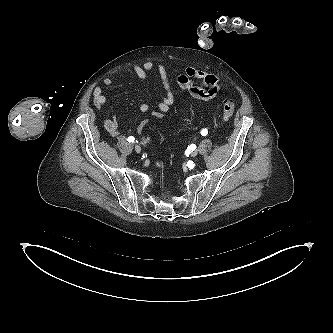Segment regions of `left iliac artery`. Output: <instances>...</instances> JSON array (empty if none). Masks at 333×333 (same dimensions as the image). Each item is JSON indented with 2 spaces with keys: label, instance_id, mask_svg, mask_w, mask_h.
<instances>
[{
  "label": "left iliac artery",
  "instance_id": "1",
  "mask_svg": "<svg viewBox=\"0 0 333 333\" xmlns=\"http://www.w3.org/2000/svg\"><path fill=\"white\" fill-rule=\"evenodd\" d=\"M207 134H208V130L207 129H202L201 130V135L202 136H207Z\"/></svg>",
  "mask_w": 333,
  "mask_h": 333
}]
</instances>
